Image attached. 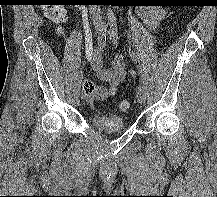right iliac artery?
Returning a JSON list of instances; mask_svg holds the SVG:
<instances>
[{
  "label": "right iliac artery",
  "instance_id": "82829eb1",
  "mask_svg": "<svg viewBox=\"0 0 217 197\" xmlns=\"http://www.w3.org/2000/svg\"><path fill=\"white\" fill-rule=\"evenodd\" d=\"M105 42H106V30L105 28H102L100 29V33L98 35V43L104 45ZM81 81H82V74L77 73V75L75 76L74 85H73L74 94H79Z\"/></svg>",
  "mask_w": 217,
  "mask_h": 197
}]
</instances>
